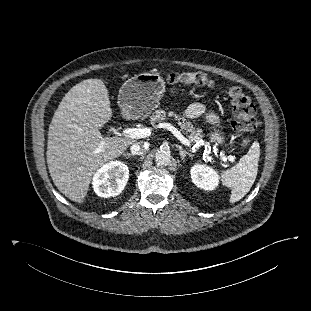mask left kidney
<instances>
[{
    "label": "left kidney",
    "instance_id": "obj_1",
    "mask_svg": "<svg viewBox=\"0 0 311 311\" xmlns=\"http://www.w3.org/2000/svg\"><path fill=\"white\" fill-rule=\"evenodd\" d=\"M190 173L193 183L201 189L211 191L218 186L219 177L212 168L196 164L191 168Z\"/></svg>",
    "mask_w": 311,
    "mask_h": 311
}]
</instances>
